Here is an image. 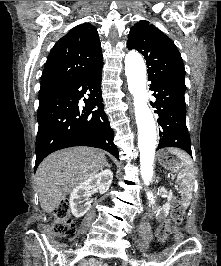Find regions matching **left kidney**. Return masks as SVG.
<instances>
[{"label": "left kidney", "mask_w": 221, "mask_h": 266, "mask_svg": "<svg viewBox=\"0 0 221 266\" xmlns=\"http://www.w3.org/2000/svg\"><path fill=\"white\" fill-rule=\"evenodd\" d=\"M172 196H173L172 192L169 191L168 197H167L168 202L161 208V214L163 216H167L169 214V210H170V203L169 202L171 201Z\"/></svg>", "instance_id": "5707ae66"}]
</instances>
